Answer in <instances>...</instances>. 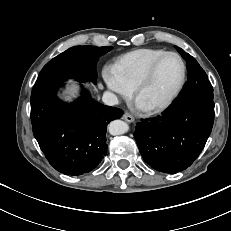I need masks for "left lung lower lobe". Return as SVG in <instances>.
Masks as SVG:
<instances>
[{
  "instance_id": "left-lung-lower-lobe-1",
  "label": "left lung lower lobe",
  "mask_w": 231,
  "mask_h": 231,
  "mask_svg": "<svg viewBox=\"0 0 231 231\" xmlns=\"http://www.w3.org/2000/svg\"><path fill=\"white\" fill-rule=\"evenodd\" d=\"M213 122V99L186 98L174 101L157 117L141 119L134 138L147 164L160 172L176 173L199 156Z\"/></svg>"
}]
</instances>
